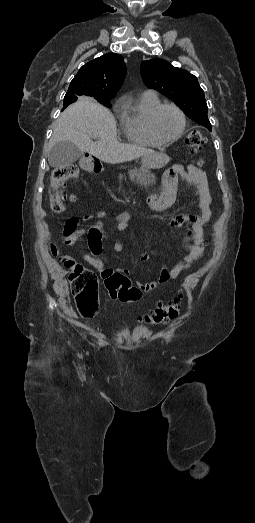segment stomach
Instances as JSON below:
<instances>
[{
    "mask_svg": "<svg viewBox=\"0 0 255 523\" xmlns=\"http://www.w3.org/2000/svg\"><path fill=\"white\" fill-rule=\"evenodd\" d=\"M144 168L158 170V167H167L169 164L168 154L166 151H148L143 158Z\"/></svg>",
    "mask_w": 255,
    "mask_h": 523,
    "instance_id": "0dacf381",
    "label": "stomach"
}]
</instances>
